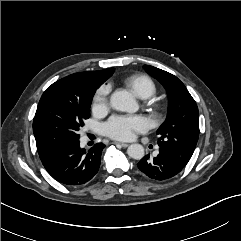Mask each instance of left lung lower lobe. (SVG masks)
I'll return each instance as SVG.
<instances>
[{
  "mask_svg": "<svg viewBox=\"0 0 241 241\" xmlns=\"http://www.w3.org/2000/svg\"><path fill=\"white\" fill-rule=\"evenodd\" d=\"M137 166L143 174L158 181L176 176L185 167L178 159L162 149H159V154L154 158H150L149 155L144 156Z\"/></svg>",
  "mask_w": 241,
  "mask_h": 241,
  "instance_id": "1",
  "label": "left lung lower lobe"
}]
</instances>
